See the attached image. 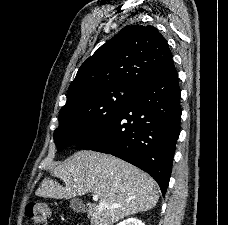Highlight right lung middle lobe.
<instances>
[{
    "label": "right lung middle lobe",
    "instance_id": "dd1d6c3e",
    "mask_svg": "<svg viewBox=\"0 0 228 225\" xmlns=\"http://www.w3.org/2000/svg\"><path fill=\"white\" fill-rule=\"evenodd\" d=\"M136 88L112 84L94 89L65 104L59 112L54 132L58 151L77 144L107 122L128 100Z\"/></svg>",
    "mask_w": 228,
    "mask_h": 225
}]
</instances>
